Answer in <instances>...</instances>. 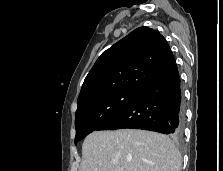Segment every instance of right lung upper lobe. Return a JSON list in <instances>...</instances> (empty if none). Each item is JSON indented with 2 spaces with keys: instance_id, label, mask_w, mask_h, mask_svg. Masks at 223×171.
<instances>
[{
  "instance_id": "obj_1",
  "label": "right lung upper lobe",
  "mask_w": 223,
  "mask_h": 171,
  "mask_svg": "<svg viewBox=\"0 0 223 171\" xmlns=\"http://www.w3.org/2000/svg\"><path fill=\"white\" fill-rule=\"evenodd\" d=\"M174 64L165 38L157 30L139 27L97 59L82 85L78 108L110 93L139 92Z\"/></svg>"
}]
</instances>
